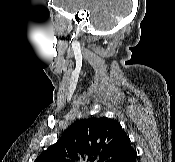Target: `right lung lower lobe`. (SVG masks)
<instances>
[{
  "label": "right lung lower lobe",
  "instance_id": "98d812e1",
  "mask_svg": "<svg viewBox=\"0 0 175 162\" xmlns=\"http://www.w3.org/2000/svg\"><path fill=\"white\" fill-rule=\"evenodd\" d=\"M136 151L130 147L127 151L117 156L112 162H136Z\"/></svg>",
  "mask_w": 175,
  "mask_h": 162
}]
</instances>
